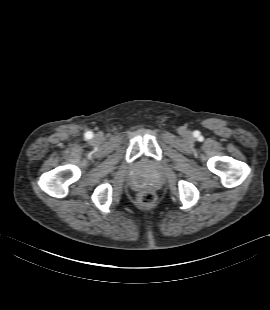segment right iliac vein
<instances>
[{"instance_id":"1","label":"right iliac vein","mask_w":270,"mask_h":310,"mask_svg":"<svg viewBox=\"0 0 270 310\" xmlns=\"http://www.w3.org/2000/svg\"><path fill=\"white\" fill-rule=\"evenodd\" d=\"M95 141L96 142H101L102 141V136L101 135H96Z\"/></svg>"}]
</instances>
